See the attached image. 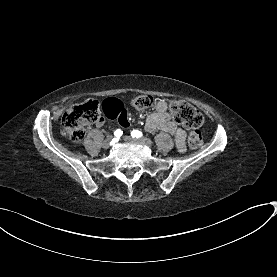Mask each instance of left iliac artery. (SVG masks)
<instances>
[{
  "label": "left iliac artery",
  "instance_id": "44dca946",
  "mask_svg": "<svg viewBox=\"0 0 277 277\" xmlns=\"http://www.w3.org/2000/svg\"><path fill=\"white\" fill-rule=\"evenodd\" d=\"M131 136H132L133 138H139V137H142L143 134H142V132L139 131V130H133V131L131 132Z\"/></svg>",
  "mask_w": 277,
  "mask_h": 277
}]
</instances>
